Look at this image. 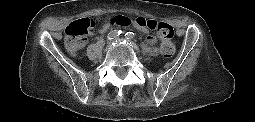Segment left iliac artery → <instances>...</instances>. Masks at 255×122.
Instances as JSON below:
<instances>
[{"label": "left iliac artery", "mask_w": 255, "mask_h": 122, "mask_svg": "<svg viewBox=\"0 0 255 122\" xmlns=\"http://www.w3.org/2000/svg\"><path fill=\"white\" fill-rule=\"evenodd\" d=\"M125 37H126V39H132L134 37V33L133 32H127L125 34Z\"/></svg>", "instance_id": "1"}]
</instances>
